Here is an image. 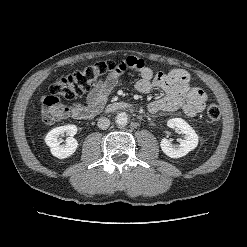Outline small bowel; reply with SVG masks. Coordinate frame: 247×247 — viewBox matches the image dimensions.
I'll return each instance as SVG.
<instances>
[{"label": "small bowel", "instance_id": "small-bowel-1", "mask_svg": "<svg viewBox=\"0 0 247 247\" xmlns=\"http://www.w3.org/2000/svg\"><path fill=\"white\" fill-rule=\"evenodd\" d=\"M126 60L129 63L127 68L136 70L140 76L136 83L139 92L149 93L153 89H161L166 93L164 97L149 103L148 110L151 113L181 109L186 115L194 117L204 110L207 96L202 89L190 85V75L185 70L172 69L154 73L142 59L130 56ZM122 72H113L96 84L87 97V104H72L71 116L76 119H90L97 114L118 85Z\"/></svg>", "mask_w": 247, "mask_h": 247}]
</instances>
